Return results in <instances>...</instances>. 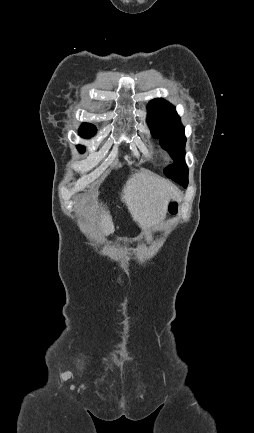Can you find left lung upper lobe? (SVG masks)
Returning a JSON list of instances; mask_svg holds the SVG:
<instances>
[{
	"mask_svg": "<svg viewBox=\"0 0 254 433\" xmlns=\"http://www.w3.org/2000/svg\"><path fill=\"white\" fill-rule=\"evenodd\" d=\"M148 124L151 134L159 138L163 147L174 159L164 173L183 187L188 184V168L185 164V133L180 117L173 105L163 99H154L148 105Z\"/></svg>",
	"mask_w": 254,
	"mask_h": 433,
	"instance_id": "obj_1",
	"label": "left lung upper lobe"
}]
</instances>
